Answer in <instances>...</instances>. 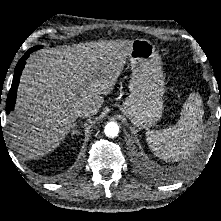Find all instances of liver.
I'll return each mask as SVG.
<instances>
[{
	"label": "liver",
	"instance_id": "liver-1",
	"mask_svg": "<svg viewBox=\"0 0 221 221\" xmlns=\"http://www.w3.org/2000/svg\"><path fill=\"white\" fill-rule=\"evenodd\" d=\"M132 40H102L42 49L20 78L15 111L9 117L18 152L35 159L56 149L89 104L97 110L117 82Z\"/></svg>",
	"mask_w": 221,
	"mask_h": 221
}]
</instances>
